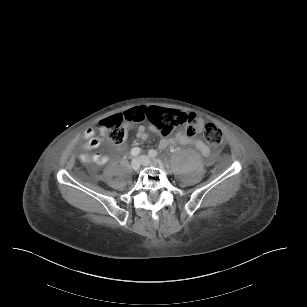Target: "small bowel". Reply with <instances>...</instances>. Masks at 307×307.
<instances>
[{
    "label": "small bowel",
    "mask_w": 307,
    "mask_h": 307,
    "mask_svg": "<svg viewBox=\"0 0 307 307\" xmlns=\"http://www.w3.org/2000/svg\"><path fill=\"white\" fill-rule=\"evenodd\" d=\"M145 111L142 115L146 113ZM152 130H155L152 128ZM84 137L86 139V142L83 146V148L87 151H92L96 148H98L102 143V137L96 136L95 131L91 128L87 129L84 132ZM137 137L141 140H146L148 137L146 128L144 126H140L137 131ZM171 144H180V145H193L203 156L208 157L210 155V149L205 144V142L199 138H196L194 136H189L185 134L182 131H178L174 134V136H164L160 143L159 148L165 149ZM80 159L83 163H95V164H106L108 162V157L105 155H102L100 153H94V154H82L80 156Z\"/></svg>",
    "instance_id": "obj_1"
}]
</instances>
